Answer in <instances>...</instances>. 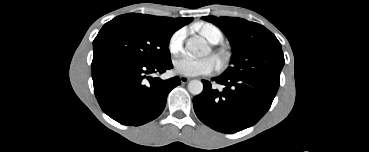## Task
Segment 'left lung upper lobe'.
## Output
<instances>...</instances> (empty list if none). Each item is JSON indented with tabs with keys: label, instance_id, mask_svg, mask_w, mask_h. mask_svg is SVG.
<instances>
[{
	"label": "left lung upper lobe",
	"instance_id": "5c2ea615",
	"mask_svg": "<svg viewBox=\"0 0 369 152\" xmlns=\"http://www.w3.org/2000/svg\"><path fill=\"white\" fill-rule=\"evenodd\" d=\"M202 19L219 27L230 41L232 66L222 75L280 80L285 61L281 44L273 33L241 18L205 16Z\"/></svg>",
	"mask_w": 369,
	"mask_h": 152
}]
</instances>
